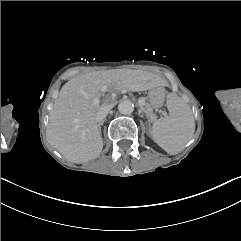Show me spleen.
<instances>
[{
	"label": "spleen",
	"instance_id": "obj_1",
	"mask_svg": "<svg viewBox=\"0 0 241 241\" xmlns=\"http://www.w3.org/2000/svg\"><path fill=\"white\" fill-rule=\"evenodd\" d=\"M169 116L155 121L150 130L154 142L170 155L179 153L194 134L190 106L176 94L168 97Z\"/></svg>",
	"mask_w": 241,
	"mask_h": 241
}]
</instances>
